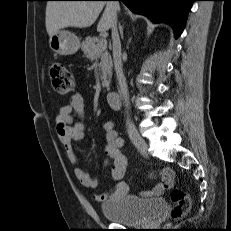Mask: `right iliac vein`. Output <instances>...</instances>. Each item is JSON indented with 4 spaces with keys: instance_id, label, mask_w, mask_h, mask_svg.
Masks as SVG:
<instances>
[{
    "instance_id": "right-iliac-vein-1",
    "label": "right iliac vein",
    "mask_w": 231,
    "mask_h": 231,
    "mask_svg": "<svg viewBox=\"0 0 231 231\" xmlns=\"http://www.w3.org/2000/svg\"><path fill=\"white\" fill-rule=\"evenodd\" d=\"M128 135L132 141V143L135 145V147L144 155L147 154L148 151V145L146 141L140 136L137 130L135 129H129Z\"/></svg>"
}]
</instances>
